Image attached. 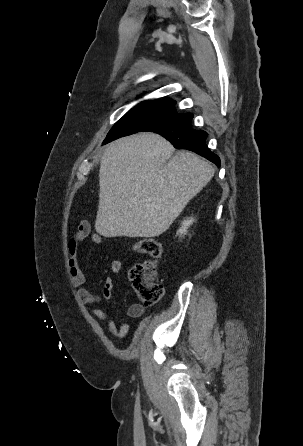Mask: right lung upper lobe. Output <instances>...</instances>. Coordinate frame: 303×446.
<instances>
[{
    "label": "right lung upper lobe",
    "instance_id": "obj_1",
    "mask_svg": "<svg viewBox=\"0 0 303 446\" xmlns=\"http://www.w3.org/2000/svg\"><path fill=\"white\" fill-rule=\"evenodd\" d=\"M170 101L167 100H157V101H143L139 103L134 108H143V109H150V110H160L165 108Z\"/></svg>",
    "mask_w": 303,
    "mask_h": 446
}]
</instances>
